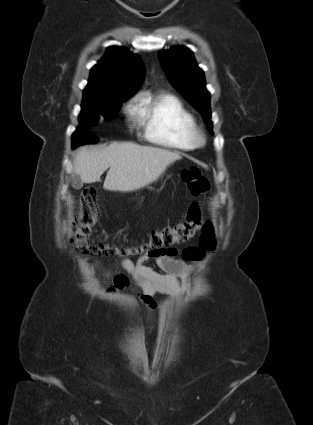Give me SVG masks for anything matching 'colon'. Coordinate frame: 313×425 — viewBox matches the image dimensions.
I'll use <instances>...</instances> for the list:
<instances>
[{"mask_svg":"<svg viewBox=\"0 0 313 425\" xmlns=\"http://www.w3.org/2000/svg\"><path fill=\"white\" fill-rule=\"evenodd\" d=\"M183 182L194 195L209 191L210 183L200 168L190 167L181 173ZM100 215L98 192L95 187H86L80 196V211L74 221L72 236L73 247L83 254H97L105 257H129L134 255H158L171 246L182 244L191 239L202 225V216L196 203L189 208L186 219L178 224L167 226L151 232L148 240L137 246H117L109 243L92 244L89 236ZM215 245V236L210 224L204 225L200 237L199 248H188L183 256L189 260H197L205 251Z\"/></svg>","mask_w":313,"mask_h":425,"instance_id":"5ec220e1","label":"colon"}]
</instances>
